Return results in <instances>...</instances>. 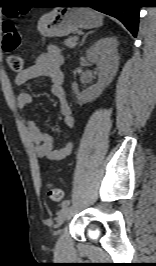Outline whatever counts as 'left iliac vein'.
Masks as SVG:
<instances>
[{"mask_svg":"<svg viewBox=\"0 0 156 266\" xmlns=\"http://www.w3.org/2000/svg\"><path fill=\"white\" fill-rule=\"evenodd\" d=\"M69 213H70V208L68 206L63 207L59 211L58 216H57V225H56V227H59L60 225H62L66 221V219L69 216Z\"/></svg>","mask_w":156,"mask_h":266,"instance_id":"1","label":"left iliac vein"}]
</instances>
